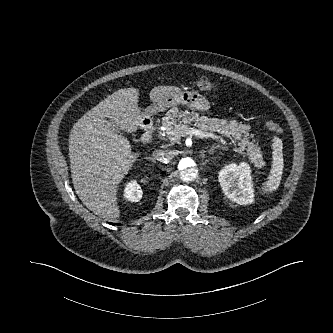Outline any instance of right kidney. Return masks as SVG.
Returning a JSON list of instances; mask_svg holds the SVG:
<instances>
[{"mask_svg":"<svg viewBox=\"0 0 333 333\" xmlns=\"http://www.w3.org/2000/svg\"><path fill=\"white\" fill-rule=\"evenodd\" d=\"M142 194L143 191L135 180L128 183L124 190V198L130 202L140 201Z\"/></svg>","mask_w":333,"mask_h":333,"instance_id":"ca27d5eb","label":"right kidney"}]
</instances>
